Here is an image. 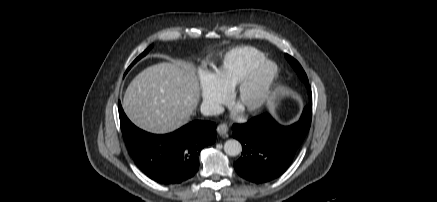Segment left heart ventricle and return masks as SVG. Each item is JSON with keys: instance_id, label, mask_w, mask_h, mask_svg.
Returning <instances> with one entry per match:
<instances>
[{"instance_id": "obj_1", "label": "left heart ventricle", "mask_w": 437, "mask_h": 202, "mask_svg": "<svg viewBox=\"0 0 437 202\" xmlns=\"http://www.w3.org/2000/svg\"><path fill=\"white\" fill-rule=\"evenodd\" d=\"M269 72H270L269 69H266L263 71V73L261 74L257 83L245 94L240 105L250 104L251 102H253L255 100V98L259 92L260 86H261L263 80L269 74Z\"/></svg>"}]
</instances>
